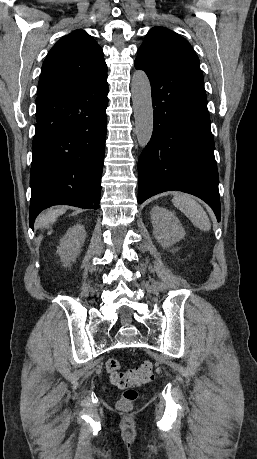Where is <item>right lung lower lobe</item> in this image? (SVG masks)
Segmentation results:
<instances>
[{
    "label": "right lung lower lobe",
    "mask_w": 257,
    "mask_h": 459,
    "mask_svg": "<svg viewBox=\"0 0 257 459\" xmlns=\"http://www.w3.org/2000/svg\"><path fill=\"white\" fill-rule=\"evenodd\" d=\"M106 77L80 89L36 99L31 227L36 216L53 205L99 208L107 127Z\"/></svg>",
    "instance_id": "98d812e1"
}]
</instances>
